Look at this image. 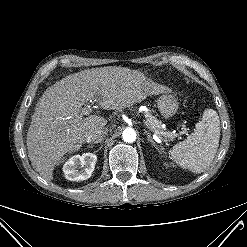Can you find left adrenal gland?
Wrapping results in <instances>:
<instances>
[{"mask_svg": "<svg viewBox=\"0 0 247 247\" xmlns=\"http://www.w3.org/2000/svg\"><path fill=\"white\" fill-rule=\"evenodd\" d=\"M144 133L147 135V140L149 143H151L156 149H158V146L156 145V143L153 141L150 133L147 130H144Z\"/></svg>", "mask_w": 247, "mask_h": 247, "instance_id": "obj_1", "label": "left adrenal gland"}]
</instances>
